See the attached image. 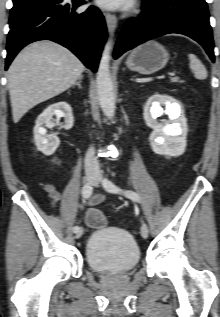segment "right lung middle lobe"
<instances>
[{
  "label": "right lung middle lobe",
  "instance_id": "1",
  "mask_svg": "<svg viewBox=\"0 0 220 317\" xmlns=\"http://www.w3.org/2000/svg\"><path fill=\"white\" fill-rule=\"evenodd\" d=\"M22 1H25V0H13V3H14V4H17V3H20V2H22Z\"/></svg>",
  "mask_w": 220,
  "mask_h": 317
}]
</instances>
